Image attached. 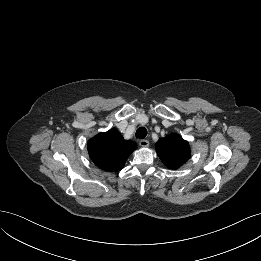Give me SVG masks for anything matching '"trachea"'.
Wrapping results in <instances>:
<instances>
[{"label": "trachea", "instance_id": "1", "mask_svg": "<svg viewBox=\"0 0 261 261\" xmlns=\"http://www.w3.org/2000/svg\"><path fill=\"white\" fill-rule=\"evenodd\" d=\"M147 135V130L145 127H139L136 131V138L144 139Z\"/></svg>", "mask_w": 261, "mask_h": 261}]
</instances>
